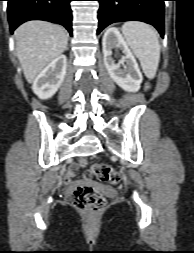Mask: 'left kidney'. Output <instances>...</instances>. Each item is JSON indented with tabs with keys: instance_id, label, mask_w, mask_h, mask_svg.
<instances>
[{
	"instance_id": "1",
	"label": "left kidney",
	"mask_w": 194,
	"mask_h": 253,
	"mask_svg": "<svg viewBox=\"0 0 194 253\" xmlns=\"http://www.w3.org/2000/svg\"><path fill=\"white\" fill-rule=\"evenodd\" d=\"M102 46L104 65L113 81L125 91L137 92L140 89L143 76L136 59L118 29L110 28L105 32ZM113 48H118L124 53L120 63L116 64L112 58ZM121 65H123V69Z\"/></svg>"
}]
</instances>
